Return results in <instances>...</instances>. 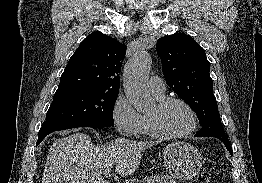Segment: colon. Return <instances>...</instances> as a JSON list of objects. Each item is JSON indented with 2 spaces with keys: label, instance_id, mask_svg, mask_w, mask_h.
Segmentation results:
<instances>
[{
  "label": "colon",
  "instance_id": "colon-1",
  "mask_svg": "<svg viewBox=\"0 0 262 183\" xmlns=\"http://www.w3.org/2000/svg\"><path fill=\"white\" fill-rule=\"evenodd\" d=\"M198 183H211V176L208 172H202L198 176Z\"/></svg>",
  "mask_w": 262,
  "mask_h": 183
}]
</instances>
